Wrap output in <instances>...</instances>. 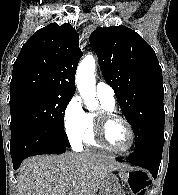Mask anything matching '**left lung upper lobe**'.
Listing matches in <instances>:
<instances>
[{
	"label": "left lung upper lobe",
	"mask_w": 178,
	"mask_h": 195,
	"mask_svg": "<svg viewBox=\"0 0 178 195\" xmlns=\"http://www.w3.org/2000/svg\"><path fill=\"white\" fill-rule=\"evenodd\" d=\"M90 45L133 128L134 150L164 141L163 77L154 50L125 26L97 28Z\"/></svg>",
	"instance_id": "left-lung-upper-lobe-1"
}]
</instances>
